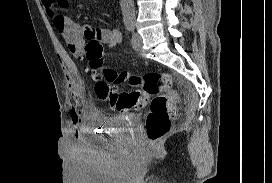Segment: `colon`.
<instances>
[{"label": "colon", "instance_id": "1", "mask_svg": "<svg viewBox=\"0 0 272 183\" xmlns=\"http://www.w3.org/2000/svg\"><path fill=\"white\" fill-rule=\"evenodd\" d=\"M103 45L97 41L88 42L83 57L87 70L95 81L98 98L118 111L143 107L151 98L150 111L146 119V134L151 143L164 138L171 128L176 115L177 93L173 90L172 77L165 72L150 71L142 76L117 73L102 69ZM128 83L137 88L121 91L119 86Z\"/></svg>", "mask_w": 272, "mask_h": 183}]
</instances>
